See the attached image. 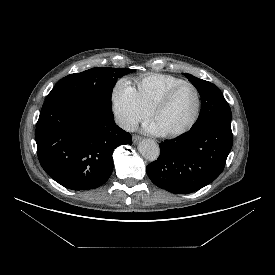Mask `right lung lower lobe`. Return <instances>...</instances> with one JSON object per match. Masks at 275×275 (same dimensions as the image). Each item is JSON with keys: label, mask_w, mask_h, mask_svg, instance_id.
Segmentation results:
<instances>
[{"label": "right lung lower lobe", "mask_w": 275, "mask_h": 275, "mask_svg": "<svg viewBox=\"0 0 275 275\" xmlns=\"http://www.w3.org/2000/svg\"><path fill=\"white\" fill-rule=\"evenodd\" d=\"M35 139L42 168L72 190L94 189L113 170L112 154L132 137L114 122L112 111L86 99L44 102Z\"/></svg>", "instance_id": "1"}]
</instances>
